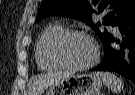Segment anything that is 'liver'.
<instances>
[{"label":"liver","instance_id":"1","mask_svg":"<svg viewBox=\"0 0 135 95\" xmlns=\"http://www.w3.org/2000/svg\"><path fill=\"white\" fill-rule=\"evenodd\" d=\"M71 75L69 72H48L35 79L28 90V95H40L48 87Z\"/></svg>","mask_w":135,"mask_h":95}]
</instances>
